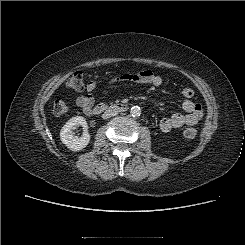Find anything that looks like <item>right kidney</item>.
Listing matches in <instances>:
<instances>
[{"label":"right kidney","instance_id":"obj_1","mask_svg":"<svg viewBox=\"0 0 245 245\" xmlns=\"http://www.w3.org/2000/svg\"><path fill=\"white\" fill-rule=\"evenodd\" d=\"M79 125L84 129L81 137H78L73 132V130ZM87 130L88 126L85 118L82 116H75L68 120V122H66L62 127L60 131V139L70 150L79 151L85 148L90 142V135Z\"/></svg>","mask_w":245,"mask_h":245}]
</instances>
